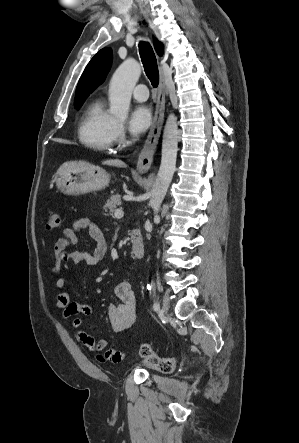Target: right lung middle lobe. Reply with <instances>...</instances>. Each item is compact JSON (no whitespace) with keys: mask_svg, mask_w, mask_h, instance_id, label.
Instances as JSON below:
<instances>
[{"mask_svg":"<svg viewBox=\"0 0 299 443\" xmlns=\"http://www.w3.org/2000/svg\"><path fill=\"white\" fill-rule=\"evenodd\" d=\"M82 105V103L75 105L76 108H79Z\"/></svg>","mask_w":299,"mask_h":443,"instance_id":"obj_1","label":"right lung middle lobe"}]
</instances>
